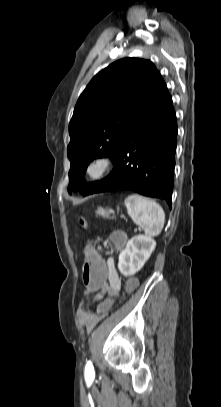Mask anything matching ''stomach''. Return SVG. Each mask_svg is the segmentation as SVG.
Listing matches in <instances>:
<instances>
[{"label": "stomach", "mask_w": 221, "mask_h": 407, "mask_svg": "<svg viewBox=\"0 0 221 407\" xmlns=\"http://www.w3.org/2000/svg\"><path fill=\"white\" fill-rule=\"evenodd\" d=\"M112 213L113 211L111 209H105L102 207H99L98 210L96 211V214L103 218H110Z\"/></svg>", "instance_id": "obj_1"}]
</instances>
